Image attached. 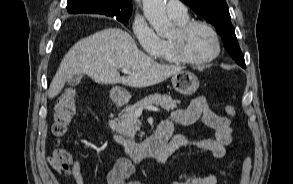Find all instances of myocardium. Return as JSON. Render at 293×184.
<instances>
[{
	"instance_id": "myocardium-1",
	"label": "myocardium",
	"mask_w": 293,
	"mask_h": 184,
	"mask_svg": "<svg viewBox=\"0 0 293 184\" xmlns=\"http://www.w3.org/2000/svg\"><path fill=\"white\" fill-rule=\"evenodd\" d=\"M202 26L210 31L215 40V51L208 57L192 59L184 51V40L187 34L195 27ZM171 52L176 61L189 65H203L215 60L221 53V39L216 29L208 22L202 20H190L178 25L175 35L169 38Z\"/></svg>"
}]
</instances>
